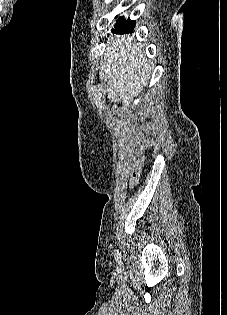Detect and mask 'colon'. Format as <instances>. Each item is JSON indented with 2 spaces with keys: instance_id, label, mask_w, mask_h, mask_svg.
Wrapping results in <instances>:
<instances>
[{
  "instance_id": "colon-1",
  "label": "colon",
  "mask_w": 227,
  "mask_h": 315,
  "mask_svg": "<svg viewBox=\"0 0 227 315\" xmlns=\"http://www.w3.org/2000/svg\"><path fill=\"white\" fill-rule=\"evenodd\" d=\"M137 178H138V172H134L132 175V179L137 180Z\"/></svg>"
}]
</instances>
